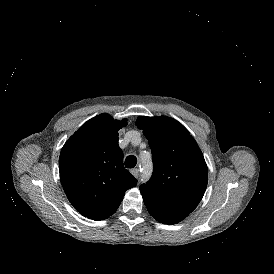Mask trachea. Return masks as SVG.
<instances>
[{"label": "trachea", "mask_w": 274, "mask_h": 274, "mask_svg": "<svg viewBox=\"0 0 274 274\" xmlns=\"http://www.w3.org/2000/svg\"><path fill=\"white\" fill-rule=\"evenodd\" d=\"M137 164V158L133 155L127 156L125 159L126 168H133Z\"/></svg>", "instance_id": "trachea-1"}]
</instances>
